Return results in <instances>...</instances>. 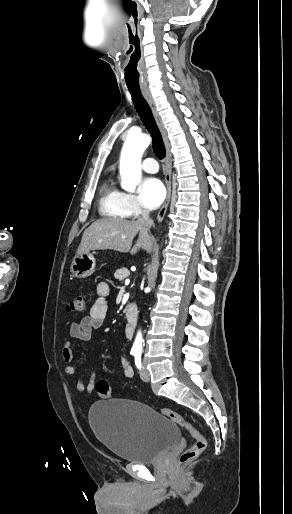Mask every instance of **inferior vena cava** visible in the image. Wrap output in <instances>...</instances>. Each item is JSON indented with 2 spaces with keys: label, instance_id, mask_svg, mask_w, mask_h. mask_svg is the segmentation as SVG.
<instances>
[{
  "label": "inferior vena cava",
  "instance_id": "1",
  "mask_svg": "<svg viewBox=\"0 0 292 514\" xmlns=\"http://www.w3.org/2000/svg\"><path fill=\"white\" fill-rule=\"evenodd\" d=\"M139 220L142 222L145 232H148L151 226H153V220H151L149 216V210H142L141 218H139Z\"/></svg>",
  "mask_w": 292,
  "mask_h": 514
}]
</instances>
